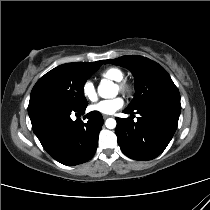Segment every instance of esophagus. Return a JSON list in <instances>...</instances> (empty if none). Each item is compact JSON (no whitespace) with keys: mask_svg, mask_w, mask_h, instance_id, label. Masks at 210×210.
I'll return each mask as SVG.
<instances>
[{"mask_svg":"<svg viewBox=\"0 0 210 210\" xmlns=\"http://www.w3.org/2000/svg\"><path fill=\"white\" fill-rule=\"evenodd\" d=\"M109 117H110L109 115H103V119H107Z\"/></svg>","mask_w":210,"mask_h":210,"instance_id":"obj_1","label":"esophagus"}]
</instances>
